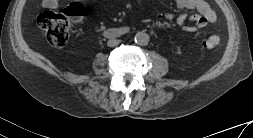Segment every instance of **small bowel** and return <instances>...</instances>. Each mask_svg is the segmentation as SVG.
<instances>
[{
  "label": "small bowel",
  "instance_id": "c3829d8e",
  "mask_svg": "<svg viewBox=\"0 0 253 138\" xmlns=\"http://www.w3.org/2000/svg\"><path fill=\"white\" fill-rule=\"evenodd\" d=\"M185 4L197 9L191 20L193 24L187 23V15L182 13L177 18V23L186 31L194 32L198 28H202L215 20V14L204 0H185ZM43 4L46 7H53L56 4V0H43ZM167 18H172L171 14H166Z\"/></svg>",
  "mask_w": 253,
  "mask_h": 138
}]
</instances>
